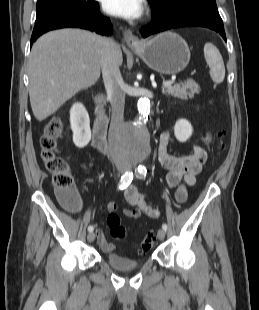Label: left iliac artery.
<instances>
[{"label":"left iliac artery","mask_w":259,"mask_h":310,"mask_svg":"<svg viewBox=\"0 0 259 310\" xmlns=\"http://www.w3.org/2000/svg\"><path fill=\"white\" fill-rule=\"evenodd\" d=\"M146 173H147L146 167L142 166V165H139L138 168H137V175L136 176L138 178H140V177L146 176ZM162 229L165 230V231L167 230V224L166 223H164L162 225Z\"/></svg>","instance_id":"left-iliac-artery-1"}]
</instances>
